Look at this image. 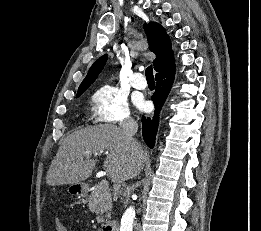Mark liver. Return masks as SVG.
Segmentation results:
<instances>
[{"label":"liver","instance_id":"obj_1","mask_svg":"<svg viewBox=\"0 0 261 231\" xmlns=\"http://www.w3.org/2000/svg\"><path fill=\"white\" fill-rule=\"evenodd\" d=\"M105 150L108 153L104 169L115 183L137 176L144 167L147 155L142 147L135 156L119 127L101 124L76 131L64 139L47 172L46 183L50 186L81 183L95 168L97 160L91 156L101 155L100 151Z\"/></svg>","mask_w":261,"mask_h":231}]
</instances>
